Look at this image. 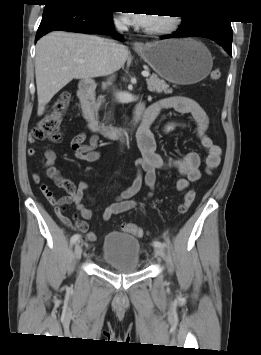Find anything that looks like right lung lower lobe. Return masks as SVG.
Masks as SVG:
<instances>
[{"instance_id":"obj_1","label":"right lung lower lobe","mask_w":261,"mask_h":355,"mask_svg":"<svg viewBox=\"0 0 261 355\" xmlns=\"http://www.w3.org/2000/svg\"><path fill=\"white\" fill-rule=\"evenodd\" d=\"M112 10L82 0H61L45 4L35 42L51 31L105 34L111 31ZM123 41L119 34H112Z\"/></svg>"}]
</instances>
